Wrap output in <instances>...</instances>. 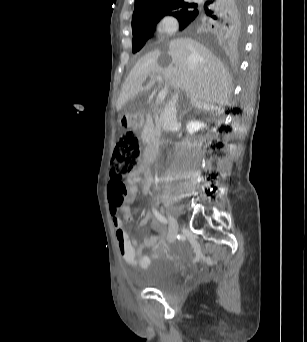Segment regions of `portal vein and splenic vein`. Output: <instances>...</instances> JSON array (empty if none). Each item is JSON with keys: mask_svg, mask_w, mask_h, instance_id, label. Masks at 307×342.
Segmentation results:
<instances>
[{"mask_svg": "<svg viewBox=\"0 0 307 342\" xmlns=\"http://www.w3.org/2000/svg\"><path fill=\"white\" fill-rule=\"evenodd\" d=\"M151 78H153V80H158L159 84H163V82L165 81V78L163 76H151ZM167 92V86H160L158 94L156 96L157 100L155 102L158 104L160 101H164L165 97L167 96Z\"/></svg>", "mask_w": 307, "mask_h": 342, "instance_id": "1", "label": "portal vein and splenic vein"}]
</instances>
